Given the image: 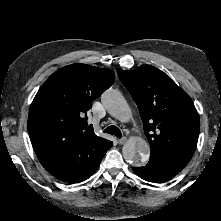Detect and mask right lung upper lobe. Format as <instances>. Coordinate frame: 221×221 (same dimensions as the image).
Returning <instances> with one entry per match:
<instances>
[{
	"label": "right lung upper lobe",
	"mask_w": 221,
	"mask_h": 221,
	"mask_svg": "<svg viewBox=\"0 0 221 221\" xmlns=\"http://www.w3.org/2000/svg\"><path fill=\"white\" fill-rule=\"evenodd\" d=\"M115 81L110 69L73 64L53 73L29 110L28 132L39 159L73 144L96 138L87 125L91 103Z\"/></svg>",
	"instance_id": "right-lung-upper-lobe-1"
}]
</instances>
